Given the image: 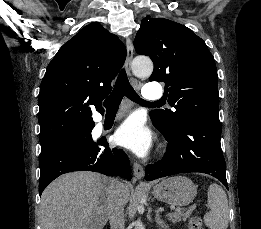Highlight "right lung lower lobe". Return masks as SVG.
<instances>
[{
	"instance_id": "98d812e1",
	"label": "right lung lower lobe",
	"mask_w": 261,
	"mask_h": 229,
	"mask_svg": "<svg viewBox=\"0 0 261 229\" xmlns=\"http://www.w3.org/2000/svg\"><path fill=\"white\" fill-rule=\"evenodd\" d=\"M91 133V131H90ZM39 194L58 176L83 170L99 172L108 176L119 175L131 179L127 155L119 149L109 148L106 139L97 142L74 139L63 142L42 153L40 160Z\"/></svg>"
}]
</instances>
